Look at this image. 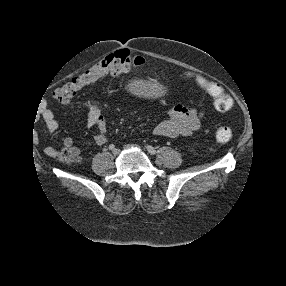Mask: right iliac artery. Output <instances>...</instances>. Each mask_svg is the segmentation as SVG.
Returning a JSON list of instances; mask_svg holds the SVG:
<instances>
[{
	"label": "right iliac artery",
	"instance_id": "1",
	"mask_svg": "<svg viewBox=\"0 0 286 286\" xmlns=\"http://www.w3.org/2000/svg\"><path fill=\"white\" fill-rule=\"evenodd\" d=\"M109 149H110V150H114V149H115V145H114V144H110V145H109Z\"/></svg>",
	"mask_w": 286,
	"mask_h": 286
}]
</instances>
